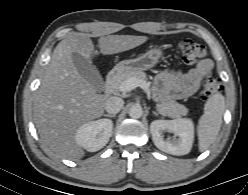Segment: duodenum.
I'll use <instances>...</instances> for the list:
<instances>
[{
    "instance_id": "duodenum-1",
    "label": "duodenum",
    "mask_w": 248,
    "mask_h": 195,
    "mask_svg": "<svg viewBox=\"0 0 248 195\" xmlns=\"http://www.w3.org/2000/svg\"><path fill=\"white\" fill-rule=\"evenodd\" d=\"M120 75V72L118 70L111 71L106 78L105 81V93L107 95H110L112 93L113 86Z\"/></svg>"
}]
</instances>
